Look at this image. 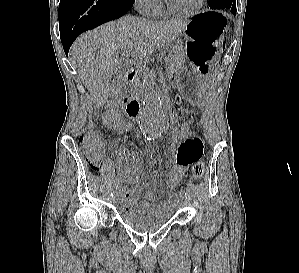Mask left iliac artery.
Wrapping results in <instances>:
<instances>
[{"mask_svg":"<svg viewBox=\"0 0 299 273\" xmlns=\"http://www.w3.org/2000/svg\"><path fill=\"white\" fill-rule=\"evenodd\" d=\"M180 196H182V197H186V192H185L184 190H181V191H180Z\"/></svg>","mask_w":299,"mask_h":273,"instance_id":"1","label":"left iliac artery"}]
</instances>
